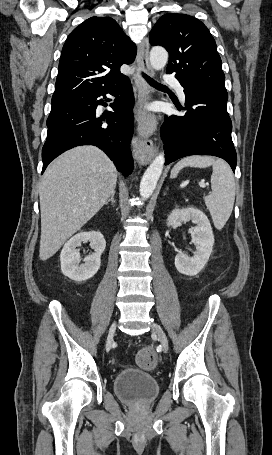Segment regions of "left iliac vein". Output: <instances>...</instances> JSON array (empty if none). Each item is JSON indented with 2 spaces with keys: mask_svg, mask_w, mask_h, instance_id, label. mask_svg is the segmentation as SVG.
I'll list each match as a JSON object with an SVG mask.
<instances>
[{
  "mask_svg": "<svg viewBox=\"0 0 272 455\" xmlns=\"http://www.w3.org/2000/svg\"><path fill=\"white\" fill-rule=\"evenodd\" d=\"M151 329H152V332H153L155 335H157V337H158V339H159V341H160V343H161V346H162V348H163V351H164L165 353H167V352H168V349H169V344H168V339H167V337H166V334L164 333V331L162 330V328H161L159 325H157L156 323H153V324H152Z\"/></svg>",
  "mask_w": 272,
  "mask_h": 455,
  "instance_id": "left-iliac-vein-1",
  "label": "left iliac vein"
}]
</instances>
